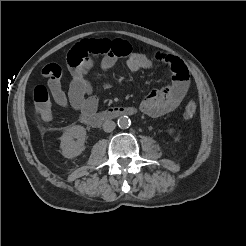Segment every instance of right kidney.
<instances>
[{
    "instance_id": "right-kidney-1",
    "label": "right kidney",
    "mask_w": 246,
    "mask_h": 246,
    "mask_svg": "<svg viewBox=\"0 0 246 246\" xmlns=\"http://www.w3.org/2000/svg\"><path fill=\"white\" fill-rule=\"evenodd\" d=\"M77 138V141L74 139ZM86 129L83 126L75 125L65 131L61 137L60 148L65 158L79 156L85 150Z\"/></svg>"
}]
</instances>
